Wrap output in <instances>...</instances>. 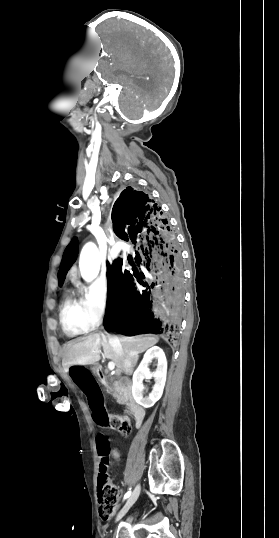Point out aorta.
Wrapping results in <instances>:
<instances>
[{"mask_svg":"<svg viewBox=\"0 0 279 538\" xmlns=\"http://www.w3.org/2000/svg\"><path fill=\"white\" fill-rule=\"evenodd\" d=\"M79 268L82 278L90 282L94 280L100 270V256L94 243H87L80 254Z\"/></svg>","mask_w":279,"mask_h":538,"instance_id":"obj_1","label":"aorta"}]
</instances>
